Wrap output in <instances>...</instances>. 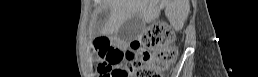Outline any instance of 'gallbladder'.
Wrapping results in <instances>:
<instances>
[{
	"label": "gallbladder",
	"instance_id": "obj_1",
	"mask_svg": "<svg viewBox=\"0 0 258 77\" xmlns=\"http://www.w3.org/2000/svg\"><path fill=\"white\" fill-rule=\"evenodd\" d=\"M144 29V23L139 15L127 19L118 30V37L124 42L136 39Z\"/></svg>",
	"mask_w": 258,
	"mask_h": 77
}]
</instances>
